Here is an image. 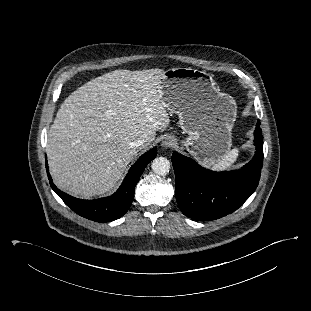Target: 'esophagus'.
I'll list each match as a JSON object with an SVG mask.
<instances>
[{"instance_id":"34e87169","label":"esophagus","mask_w":311,"mask_h":311,"mask_svg":"<svg viewBox=\"0 0 311 311\" xmlns=\"http://www.w3.org/2000/svg\"><path fill=\"white\" fill-rule=\"evenodd\" d=\"M175 145V139L171 136H167L165 137L162 142H161V146L164 148V149H168V148H171Z\"/></svg>"}]
</instances>
